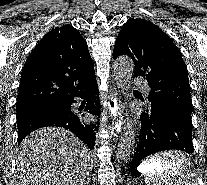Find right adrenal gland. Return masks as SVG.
<instances>
[{
  "label": "right adrenal gland",
  "mask_w": 207,
  "mask_h": 185,
  "mask_svg": "<svg viewBox=\"0 0 207 185\" xmlns=\"http://www.w3.org/2000/svg\"><path fill=\"white\" fill-rule=\"evenodd\" d=\"M83 185H90V181H84Z\"/></svg>",
  "instance_id": "1"
}]
</instances>
